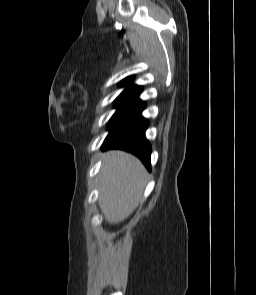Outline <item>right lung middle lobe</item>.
<instances>
[{"mask_svg":"<svg viewBox=\"0 0 256 295\" xmlns=\"http://www.w3.org/2000/svg\"><path fill=\"white\" fill-rule=\"evenodd\" d=\"M129 102H130L129 100L116 101L115 107L117 108V111L114 113V115L109 120L108 125L120 115V113L126 108V106L129 104Z\"/></svg>","mask_w":256,"mask_h":295,"instance_id":"right-lung-middle-lobe-1","label":"right lung middle lobe"}]
</instances>
